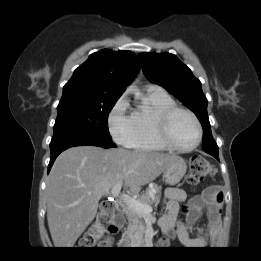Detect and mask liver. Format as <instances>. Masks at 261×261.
<instances>
[{
    "label": "liver",
    "mask_w": 261,
    "mask_h": 261,
    "mask_svg": "<svg viewBox=\"0 0 261 261\" xmlns=\"http://www.w3.org/2000/svg\"><path fill=\"white\" fill-rule=\"evenodd\" d=\"M176 155L77 146L56 159L46 187L47 220L56 248H71L93 221L102 196L120 180L132 193L155 180Z\"/></svg>",
    "instance_id": "liver-1"
}]
</instances>
